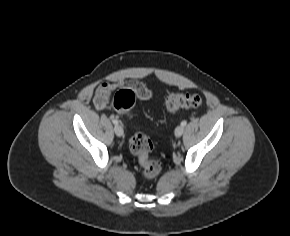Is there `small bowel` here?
<instances>
[{
	"label": "small bowel",
	"mask_w": 290,
	"mask_h": 236,
	"mask_svg": "<svg viewBox=\"0 0 290 236\" xmlns=\"http://www.w3.org/2000/svg\"><path fill=\"white\" fill-rule=\"evenodd\" d=\"M123 86L133 88L140 99L148 100L151 97L150 90L141 82L130 81ZM118 87L115 83H101L94 94V105L97 110H104L110 102L111 96Z\"/></svg>",
	"instance_id": "obj_1"
}]
</instances>
